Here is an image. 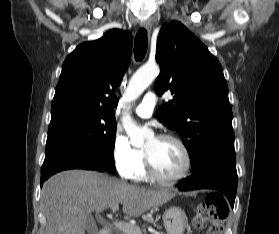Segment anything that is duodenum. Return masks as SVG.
Here are the masks:
<instances>
[{
    "mask_svg": "<svg viewBox=\"0 0 279 234\" xmlns=\"http://www.w3.org/2000/svg\"><path fill=\"white\" fill-rule=\"evenodd\" d=\"M99 234H112V230L109 226L107 227H104L100 232Z\"/></svg>",
    "mask_w": 279,
    "mask_h": 234,
    "instance_id": "1",
    "label": "duodenum"
}]
</instances>
